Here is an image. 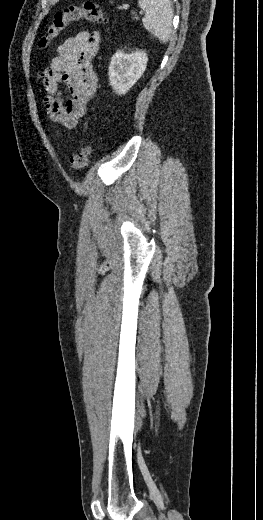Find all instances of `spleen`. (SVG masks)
I'll use <instances>...</instances> for the list:
<instances>
[{
  "label": "spleen",
  "instance_id": "obj_1",
  "mask_svg": "<svg viewBox=\"0 0 263 520\" xmlns=\"http://www.w3.org/2000/svg\"><path fill=\"white\" fill-rule=\"evenodd\" d=\"M145 11L143 25L160 42L167 43L172 33L173 9L170 0H138Z\"/></svg>",
  "mask_w": 263,
  "mask_h": 520
}]
</instances>
